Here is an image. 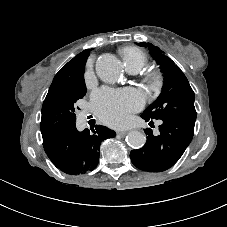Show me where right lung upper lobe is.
Here are the masks:
<instances>
[{
  "label": "right lung upper lobe",
  "mask_w": 227,
  "mask_h": 227,
  "mask_svg": "<svg viewBox=\"0 0 227 227\" xmlns=\"http://www.w3.org/2000/svg\"><path fill=\"white\" fill-rule=\"evenodd\" d=\"M90 51L91 49H87L76 55L58 71L53 81H59L63 79L75 81L81 79L82 77L84 78V67Z\"/></svg>",
  "instance_id": "obj_1"
}]
</instances>
